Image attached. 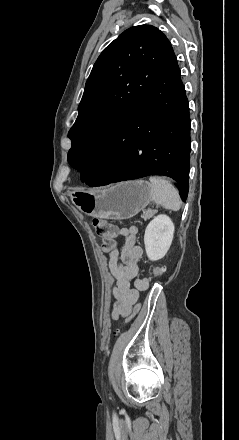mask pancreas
Segmentation results:
<instances>
[{"instance_id": "pancreas-1", "label": "pancreas", "mask_w": 239, "mask_h": 440, "mask_svg": "<svg viewBox=\"0 0 239 440\" xmlns=\"http://www.w3.org/2000/svg\"><path fill=\"white\" fill-rule=\"evenodd\" d=\"M156 214L155 210H144L141 218H144V220H149V218H152Z\"/></svg>"}]
</instances>
